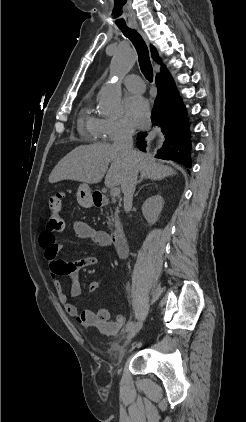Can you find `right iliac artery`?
<instances>
[{"label":"right iliac artery","mask_w":246,"mask_h":422,"mask_svg":"<svg viewBox=\"0 0 246 422\" xmlns=\"http://www.w3.org/2000/svg\"><path fill=\"white\" fill-rule=\"evenodd\" d=\"M133 325H134V322H133V321L129 322V323L127 324L126 330H127V331H130V330H131V328L133 327Z\"/></svg>","instance_id":"obj_1"}]
</instances>
